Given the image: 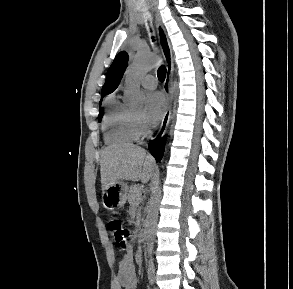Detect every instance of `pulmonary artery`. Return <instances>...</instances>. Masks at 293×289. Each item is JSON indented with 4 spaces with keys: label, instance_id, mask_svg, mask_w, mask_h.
<instances>
[{
    "label": "pulmonary artery",
    "instance_id": "pulmonary-artery-1",
    "mask_svg": "<svg viewBox=\"0 0 293 289\" xmlns=\"http://www.w3.org/2000/svg\"><path fill=\"white\" fill-rule=\"evenodd\" d=\"M141 83L147 89H154L157 86V79L153 75H145Z\"/></svg>",
    "mask_w": 293,
    "mask_h": 289
}]
</instances>
